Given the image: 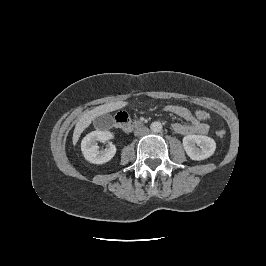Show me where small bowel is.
I'll use <instances>...</instances> for the list:
<instances>
[{"instance_id": "1", "label": "small bowel", "mask_w": 266, "mask_h": 266, "mask_svg": "<svg viewBox=\"0 0 266 266\" xmlns=\"http://www.w3.org/2000/svg\"><path fill=\"white\" fill-rule=\"evenodd\" d=\"M165 111L187 122V124L174 123L172 125L173 130L180 135L206 134L209 130V126L206 123L199 121L195 115L184 106L168 105L165 107Z\"/></svg>"}]
</instances>
